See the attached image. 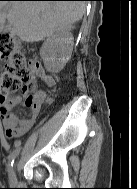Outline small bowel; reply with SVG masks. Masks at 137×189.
Masks as SVG:
<instances>
[{
    "label": "small bowel",
    "mask_w": 137,
    "mask_h": 189,
    "mask_svg": "<svg viewBox=\"0 0 137 189\" xmlns=\"http://www.w3.org/2000/svg\"><path fill=\"white\" fill-rule=\"evenodd\" d=\"M33 71V84H35L38 79L42 80L49 87H53L56 84L55 78L52 75L46 73L42 66H35ZM33 97L35 99V106L33 107L26 106L25 95L14 100H6L0 104V114L7 138L19 139L24 134H26L34 125L42 106L52 101V99L43 90H36L33 93ZM17 104H22L26 108H29L31 110L30 114L27 117H21L13 113L12 108Z\"/></svg>",
    "instance_id": "c3829d8e"
}]
</instances>
